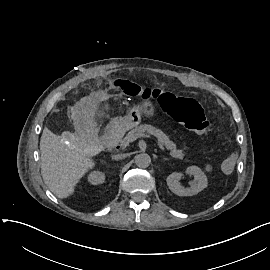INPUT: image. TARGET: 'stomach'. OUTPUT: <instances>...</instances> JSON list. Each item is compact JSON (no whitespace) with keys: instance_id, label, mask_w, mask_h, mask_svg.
<instances>
[{"instance_id":"0dacf381","label":"stomach","mask_w":270,"mask_h":270,"mask_svg":"<svg viewBox=\"0 0 270 270\" xmlns=\"http://www.w3.org/2000/svg\"><path fill=\"white\" fill-rule=\"evenodd\" d=\"M157 115V109L152 96L142 98L122 118V125L123 128L129 130L138 126L143 116L153 120Z\"/></svg>"}]
</instances>
